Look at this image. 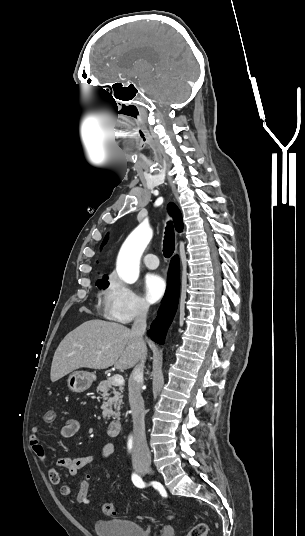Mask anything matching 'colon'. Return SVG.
I'll list each match as a JSON object with an SVG mask.
<instances>
[{"instance_id": "obj_1", "label": "colon", "mask_w": 305, "mask_h": 536, "mask_svg": "<svg viewBox=\"0 0 305 536\" xmlns=\"http://www.w3.org/2000/svg\"><path fill=\"white\" fill-rule=\"evenodd\" d=\"M53 418H54V410H49L46 413V419L49 422H51ZM88 496H89V488H88V484H85V485L81 486V488H80V490L78 492V495H77L78 503L81 504V505L86 504L87 501H88ZM103 512L105 514H109V515L115 514L116 513V507H115L114 503L113 502H105L103 504ZM168 518L173 519L174 517L169 516ZM187 536H208V529H207L205 524L200 523V524L196 525L194 528H192L190 530V532L187 534Z\"/></svg>"}]
</instances>
